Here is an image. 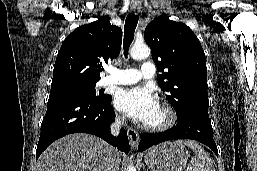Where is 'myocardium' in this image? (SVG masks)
<instances>
[{
  "instance_id": "myocardium-1",
  "label": "myocardium",
  "mask_w": 257,
  "mask_h": 171,
  "mask_svg": "<svg viewBox=\"0 0 257 171\" xmlns=\"http://www.w3.org/2000/svg\"><path fill=\"white\" fill-rule=\"evenodd\" d=\"M159 108L163 112L165 118L157 124L144 123L143 127L146 130L153 132H163L171 129L177 122V114L173 107L167 103H160Z\"/></svg>"
}]
</instances>
